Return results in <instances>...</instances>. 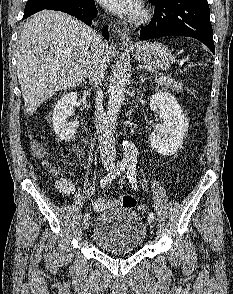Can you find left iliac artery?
I'll return each mask as SVG.
<instances>
[{
	"label": "left iliac artery",
	"instance_id": "obj_1",
	"mask_svg": "<svg viewBox=\"0 0 233 294\" xmlns=\"http://www.w3.org/2000/svg\"><path fill=\"white\" fill-rule=\"evenodd\" d=\"M127 178L132 186V188L137 189V182H136V164L131 162L127 165ZM149 217L154 218V213L150 212L148 214Z\"/></svg>",
	"mask_w": 233,
	"mask_h": 294
}]
</instances>
